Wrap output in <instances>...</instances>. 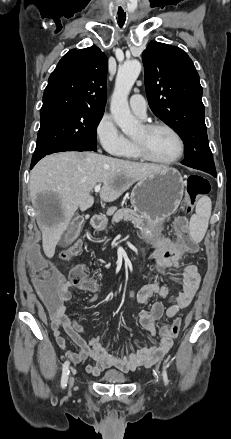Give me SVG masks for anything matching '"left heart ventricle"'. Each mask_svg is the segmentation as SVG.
<instances>
[{
  "mask_svg": "<svg viewBox=\"0 0 231 439\" xmlns=\"http://www.w3.org/2000/svg\"><path fill=\"white\" fill-rule=\"evenodd\" d=\"M133 139L141 142L148 153L156 159H171L178 152V143L175 137L165 129L145 132L141 128Z\"/></svg>",
  "mask_w": 231,
  "mask_h": 439,
  "instance_id": "left-heart-ventricle-1",
  "label": "left heart ventricle"
}]
</instances>
